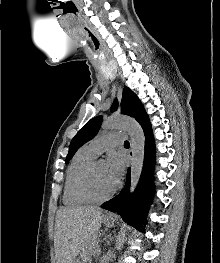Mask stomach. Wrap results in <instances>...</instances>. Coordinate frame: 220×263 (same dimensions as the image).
Listing matches in <instances>:
<instances>
[{
	"label": "stomach",
	"instance_id": "obj_1",
	"mask_svg": "<svg viewBox=\"0 0 220 263\" xmlns=\"http://www.w3.org/2000/svg\"><path fill=\"white\" fill-rule=\"evenodd\" d=\"M115 219L113 217H103V223L107 226H113ZM74 263H82L79 259L75 260Z\"/></svg>",
	"mask_w": 220,
	"mask_h": 263
}]
</instances>
